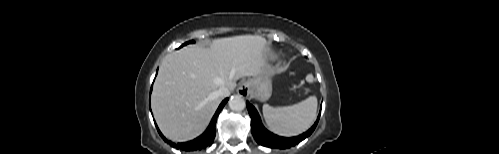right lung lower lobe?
Returning a JSON list of instances; mask_svg holds the SVG:
<instances>
[{
    "label": "right lung lower lobe",
    "mask_w": 499,
    "mask_h": 154,
    "mask_svg": "<svg viewBox=\"0 0 499 154\" xmlns=\"http://www.w3.org/2000/svg\"><path fill=\"white\" fill-rule=\"evenodd\" d=\"M151 90H152V88H151ZM227 101H228V98L223 100V102L220 104V106L218 107V109H217L215 115L213 116L206 131L201 136H199L198 138H196L192 141L185 142V143H179V144L172 143L171 141H168L162 135V133L158 129L156 123H155V125L157 127V130H158L160 136L163 138V140L165 142H168L174 148L184 150V151H195L198 149H204L207 146H211V144L213 143V140L215 138V133H216L215 125H216L217 116L219 115L220 111L222 110V108L224 107V105L226 104Z\"/></svg>",
    "instance_id": "obj_1"
}]
</instances>
